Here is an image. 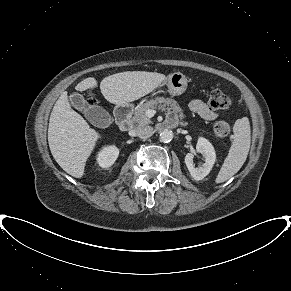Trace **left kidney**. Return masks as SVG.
Returning a JSON list of instances; mask_svg holds the SVG:
<instances>
[{"instance_id":"obj_1","label":"left kidney","mask_w":291,"mask_h":291,"mask_svg":"<svg viewBox=\"0 0 291 291\" xmlns=\"http://www.w3.org/2000/svg\"><path fill=\"white\" fill-rule=\"evenodd\" d=\"M196 151L203 155V157L205 158V163L200 167H195L193 161L194 153L191 152L185 156V164L193 179L202 180L210 173L216 161V154L212 144L203 137H200L198 139V142L196 144Z\"/></svg>"}]
</instances>
